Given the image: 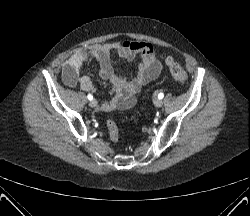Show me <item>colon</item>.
<instances>
[{
  "label": "colon",
  "mask_w": 250,
  "mask_h": 216,
  "mask_svg": "<svg viewBox=\"0 0 250 216\" xmlns=\"http://www.w3.org/2000/svg\"><path fill=\"white\" fill-rule=\"evenodd\" d=\"M161 58L168 67L172 77L179 83L185 84L187 82L188 76L183 67L168 54H162ZM106 127L111 141L117 143L119 140V130L116 123L113 120H107Z\"/></svg>",
  "instance_id": "5ec220e1"
}]
</instances>
